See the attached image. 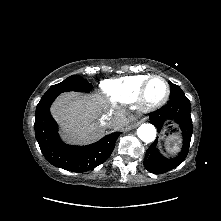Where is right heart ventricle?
Returning <instances> with one entry per match:
<instances>
[{
	"instance_id": "right-heart-ventricle-1",
	"label": "right heart ventricle",
	"mask_w": 221,
	"mask_h": 221,
	"mask_svg": "<svg viewBox=\"0 0 221 221\" xmlns=\"http://www.w3.org/2000/svg\"><path fill=\"white\" fill-rule=\"evenodd\" d=\"M149 75L125 76L106 80L101 88L106 97L115 104H130L137 100L139 91Z\"/></svg>"
}]
</instances>
